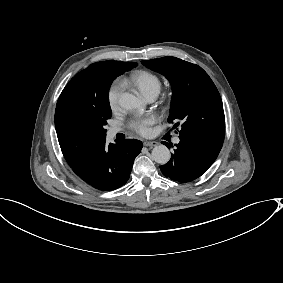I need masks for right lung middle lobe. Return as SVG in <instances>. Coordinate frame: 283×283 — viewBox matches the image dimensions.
Segmentation results:
<instances>
[{
	"mask_svg": "<svg viewBox=\"0 0 283 283\" xmlns=\"http://www.w3.org/2000/svg\"><path fill=\"white\" fill-rule=\"evenodd\" d=\"M112 112L109 105V101L102 104L95 105L90 108L84 115L87 123L97 131L106 134L104 126L107 124V120L111 118Z\"/></svg>",
	"mask_w": 283,
	"mask_h": 283,
	"instance_id": "dd1d6c3e",
	"label": "right lung middle lobe"
}]
</instances>
